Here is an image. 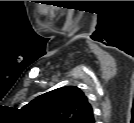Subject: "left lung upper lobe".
I'll use <instances>...</instances> for the list:
<instances>
[{"mask_svg": "<svg viewBox=\"0 0 134 123\" xmlns=\"http://www.w3.org/2000/svg\"><path fill=\"white\" fill-rule=\"evenodd\" d=\"M41 120L55 123H94L93 110L76 86L61 87L40 95L25 106Z\"/></svg>", "mask_w": 134, "mask_h": 123, "instance_id": "left-lung-upper-lobe-1", "label": "left lung upper lobe"}]
</instances>
